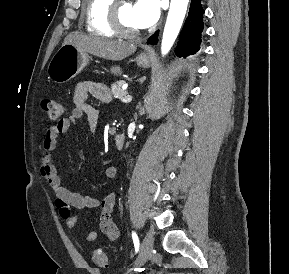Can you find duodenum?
I'll list each match as a JSON object with an SVG mask.
<instances>
[{"instance_id":"410a0bca","label":"duodenum","mask_w":289,"mask_h":274,"mask_svg":"<svg viewBox=\"0 0 289 274\" xmlns=\"http://www.w3.org/2000/svg\"><path fill=\"white\" fill-rule=\"evenodd\" d=\"M114 142H115V147L117 148V150H122L125 145V136L121 133L116 134L114 138Z\"/></svg>"}]
</instances>
